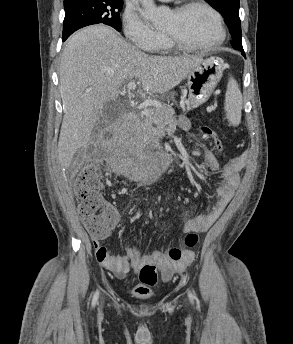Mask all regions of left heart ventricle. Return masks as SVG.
I'll return each instance as SVG.
<instances>
[{
    "mask_svg": "<svg viewBox=\"0 0 293 344\" xmlns=\"http://www.w3.org/2000/svg\"><path fill=\"white\" fill-rule=\"evenodd\" d=\"M193 45L212 42L218 35L213 16L205 9L195 7L182 14L170 12L162 29Z\"/></svg>",
    "mask_w": 293,
    "mask_h": 344,
    "instance_id": "1",
    "label": "left heart ventricle"
}]
</instances>
